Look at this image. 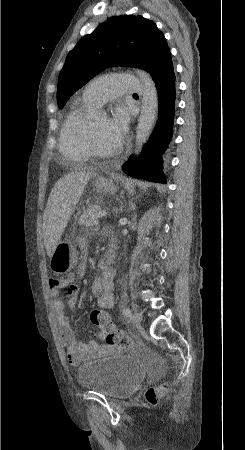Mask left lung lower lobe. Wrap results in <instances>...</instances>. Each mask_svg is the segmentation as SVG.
Returning <instances> with one entry per match:
<instances>
[{"mask_svg": "<svg viewBox=\"0 0 245 450\" xmlns=\"http://www.w3.org/2000/svg\"><path fill=\"white\" fill-rule=\"evenodd\" d=\"M152 78L158 95V121L140 159H130L128 164L123 165V171L135 178L166 183L161 155L169 144L174 120L175 75L172 60L160 67Z\"/></svg>", "mask_w": 245, "mask_h": 450, "instance_id": "obj_1", "label": "left lung lower lobe"}]
</instances>
